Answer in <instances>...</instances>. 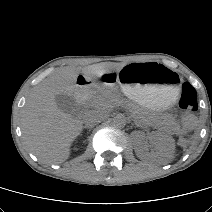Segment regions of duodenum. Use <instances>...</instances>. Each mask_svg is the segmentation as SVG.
Returning a JSON list of instances; mask_svg holds the SVG:
<instances>
[{
  "label": "duodenum",
  "mask_w": 212,
  "mask_h": 212,
  "mask_svg": "<svg viewBox=\"0 0 212 212\" xmlns=\"http://www.w3.org/2000/svg\"><path fill=\"white\" fill-rule=\"evenodd\" d=\"M93 82L87 78H81L77 81V95L79 98H85L92 88Z\"/></svg>",
  "instance_id": "duodenum-1"
}]
</instances>
